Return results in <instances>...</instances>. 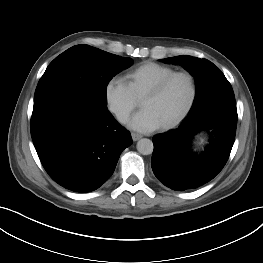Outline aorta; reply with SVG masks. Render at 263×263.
Here are the masks:
<instances>
[{
	"instance_id": "1",
	"label": "aorta",
	"mask_w": 263,
	"mask_h": 263,
	"mask_svg": "<svg viewBox=\"0 0 263 263\" xmlns=\"http://www.w3.org/2000/svg\"><path fill=\"white\" fill-rule=\"evenodd\" d=\"M137 150L142 155H150L153 152V142L150 139L143 138L137 142Z\"/></svg>"
}]
</instances>
